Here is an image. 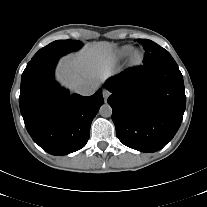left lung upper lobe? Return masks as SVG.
<instances>
[{"label":"left lung upper lobe","mask_w":207,"mask_h":207,"mask_svg":"<svg viewBox=\"0 0 207 207\" xmlns=\"http://www.w3.org/2000/svg\"><path fill=\"white\" fill-rule=\"evenodd\" d=\"M138 42L143 45L145 50V57L143 60L144 65H151L161 61L173 59L167 50L153 41L138 39Z\"/></svg>","instance_id":"1"}]
</instances>
